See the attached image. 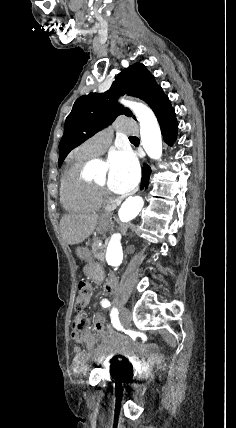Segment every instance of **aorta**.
Segmentation results:
<instances>
[{
    "label": "aorta",
    "instance_id": "aorta-1",
    "mask_svg": "<svg viewBox=\"0 0 236 428\" xmlns=\"http://www.w3.org/2000/svg\"><path fill=\"white\" fill-rule=\"evenodd\" d=\"M121 102L129 107L140 125V135L142 146L147 155L152 159H160L162 156V137L157 118L153 111L142 103L126 101ZM144 206V201L140 196L129 197L121 205L118 216L122 222L134 219ZM106 260L109 265L117 267L123 261V249L121 235L114 233L107 245Z\"/></svg>",
    "mask_w": 236,
    "mask_h": 428
}]
</instances>
